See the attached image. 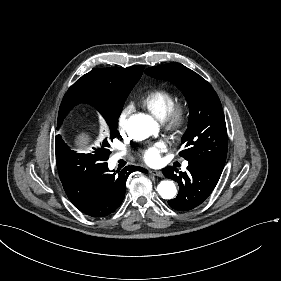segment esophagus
I'll use <instances>...</instances> for the list:
<instances>
[{
    "label": "esophagus",
    "instance_id": "esophagus-1",
    "mask_svg": "<svg viewBox=\"0 0 281 281\" xmlns=\"http://www.w3.org/2000/svg\"><path fill=\"white\" fill-rule=\"evenodd\" d=\"M149 173L154 176L163 177V173L160 170H150Z\"/></svg>",
    "mask_w": 281,
    "mask_h": 281
}]
</instances>
